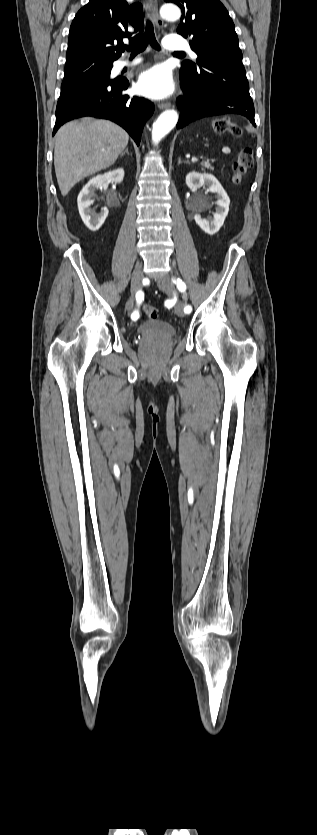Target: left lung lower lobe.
I'll use <instances>...</instances> for the list:
<instances>
[{
  "instance_id": "left-lung-lower-lobe-1",
  "label": "left lung lower lobe",
  "mask_w": 317,
  "mask_h": 835,
  "mask_svg": "<svg viewBox=\"0 0 317 835\" xmlns=\"http://www.w3.org/2000/svg\"><path fill=\"white\" fill-rule=\"evenodd\" d=\"M183 95L178 97L181 111L177 128L203 117L239 114L254 120V105L241 59H213L194 71L180 73Z\"/></svg>"
}]
</instances>
